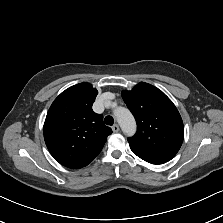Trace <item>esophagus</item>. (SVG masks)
<instances>
[{
  "label": "esophagus",
  "instance_id": "obj_1",
  "mask_svg": "<svg viewBox=\"0 0 223 223\" xmlns=\"http://www.w3.org/2000/svg\"><path fill=\"white\" fill-rule=\"evenodd\" d=\"M112 130H113L114 133H117V132L120 130L118 124H114V125L112 126Z\"/></svg>",
  "mask_w": 223,
  "mask_h": 223
}]
</instances>
